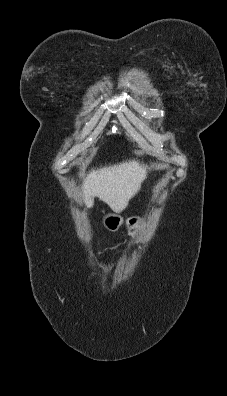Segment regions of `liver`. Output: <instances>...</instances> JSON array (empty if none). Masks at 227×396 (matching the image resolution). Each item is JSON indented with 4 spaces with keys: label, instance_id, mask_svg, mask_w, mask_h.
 Returning a JSON list of instances; mask_svg holds the SVG:
<instances>
[{
    "label": "liver",
    "instance_id": "6515ba94",
    "mask_svg": "<svg viewBox=\"0 0 227 396\" xmlns=\"http://www.w3.org/2000/svg\"><path fill=\"white\" fill-rule=\"evenodd\" d=\"M162 169L166 165L156 164L151 167ZM148 166L135 160L92 170L84 180L83 194L87 208L93 207L94 197L108 204L117 213L122 212L129 200L138 193L141 183L146 179Z\"/></svg>",
    "mask_w": 227,
    "mask_h": 396
}]
</instances>
